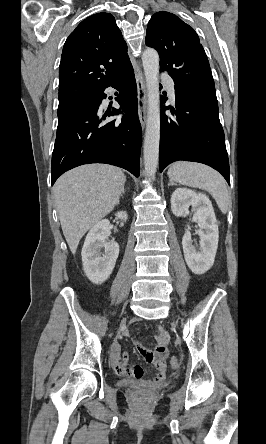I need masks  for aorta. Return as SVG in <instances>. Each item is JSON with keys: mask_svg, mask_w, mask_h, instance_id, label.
<instances>
[{"mask_svg": "<svg viewBox=\"0 0 266 444\" xmlns=\"http://www.w3.org/2000/svg\"><path fill=\"white\" fill-rule=\"evenodd\" d=\"M146 80L148 111L144 139V168L149 179L155 177L160 141V93H159V55L155 49L147 48L142 54Z\"/></svg>", "mask_w": 266, "mask_h": 444, "instance_id": "1", "label": "aorta"}]
</instances>
